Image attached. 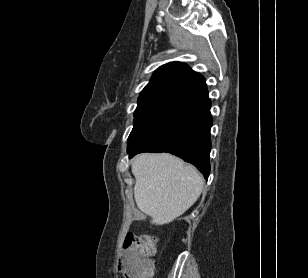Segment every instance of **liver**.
<instances>
[{
  "label": "liver",
  "instance_id": "obj_1",
  "mask_svg": "<svg viewBox=\"0 0 308 278\" xmlns=\"http://www.w3.org/2000/svg\"><path fill=\"white\" fill-rule=\"evenodd\" d=\"M137 207L163 225L187 211L199 198L204 180L197 169L168 153H143L132 161Z\"/></svg>",
  "mask_w": 308,
  "mask_h": 278
}]
</instances>
